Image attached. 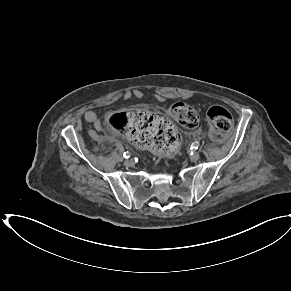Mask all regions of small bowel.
Masks as SVG:
<instances>
[{"mask_svg":"<svg viewBox=\"0 0 291 291\" xmlns=\"http://www.w3.org/2000/svg\"><path fill=\"white\" fill-rule=\"evenodd\" d=\"M139 93H140L139 90H132L131 91V94L135 97H137L139 95ZM84 119L87 122L93 123L95 128H96V130L89 131V136L93 140H95L98 143H103V142L107 141V138L98 132L101 129V126H100L98 118L94 112H92V111L85 112Z\"/></svg>","mask_w":291,"mask_h":291,"instance_id":"c3829d8e","label":"small bowel"}]
</instances>
